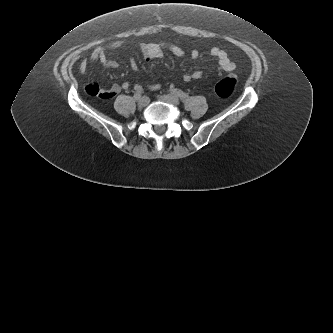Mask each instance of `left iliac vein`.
<instances>
[{
  "label": "left iliac vein",
  "mask_w": 333,
  "mask_h": 333,
  "mask_svg": "<svg viewBox=\"0 0 333 333\" xmlns=\"http://www.w3.org/2000/svg\"><path fill=\"white\" fill-rule=\"evenodd\" d=\"M159 99L161 101H164V102H167V103H170V104H174V105L179 104L178 97L173 95V94H166V95L159 96Z\"/></svg>",
  "instance_id": "obj_1"
}]
</instances>
